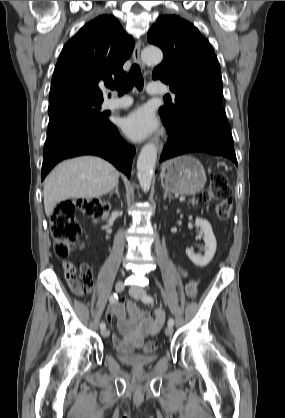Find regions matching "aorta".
<instances>
[{
	"label": "aorta",
	"instance_id": "aorta-1",
	"mask_svg": "<svg viewBox=\"0 0 285 418\" xmlns=\"http://www.w3.org/2000/svg\"><path fill=\"white\" fill-rule=\"evenodd\" d=\"M143 62L156 65L163 59V53L158 48H145L141 53ZM157 160V148L148 143L143 146L137 160V176L142 189L149 190Z\"/></svg>",
	"mask_w": 285,
	"mask_h": 418
}]
</instances>
